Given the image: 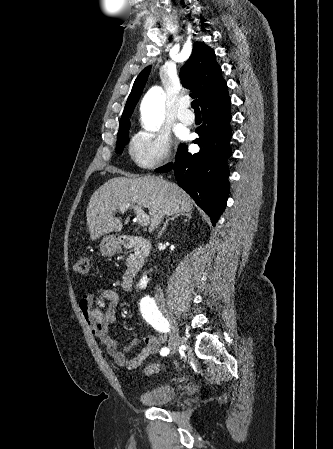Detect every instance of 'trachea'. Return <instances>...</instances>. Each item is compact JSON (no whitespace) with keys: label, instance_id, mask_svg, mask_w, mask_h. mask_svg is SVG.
Here are the masks:
<instances>
[{"label":"trachea","instance_id":"obj_1","mask_svg":"<svg viewBox=\"0 0 333 449\" xmlns=\"http://www.w3.org/2000/svg\"><path fill=\"white\" fill-rule=\"evenodd\" d=\"M191 107L194 109V111L196 113H198L199 112L198 100H193L192 103H191Z\"/></svg>","mask_w":333,"mask_h":449}]
</instances>
